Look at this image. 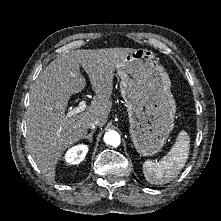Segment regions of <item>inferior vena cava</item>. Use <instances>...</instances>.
Returning <instances> with one entry per match:
<instances>
[{
	"label": "inferior vena cava",
	"instance_id": "1",
	"mask_svg": "<svg viewBox=\"0 0 221 221\" xmlns=\"http://www.w3.org/2000/svg\"><path fill=\"white\" fill-rule=\"evenodd\" d=\"M99 125H100V121L98 119H95L89 123V127L92 129H95Z\"/></svg>",
	"mask_w": 221,
	"mask_h": 221
}]
</instances>
